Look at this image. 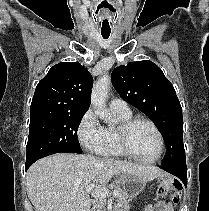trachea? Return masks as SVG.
<instances>
[{"instance_id":"1","label":"trachea","mask_w":209,"mask_h":211,"mask_svg":"<svg viewBox=\"0 0 209 211\" xmlns=\"http://www.w3.org/2000/svg\"><path fill=\"white\" fill-rule=\"evenodd\" d=\"M111 31H101L102 37L107 39L110 36Z\"/></svg>"}]
</instances>
